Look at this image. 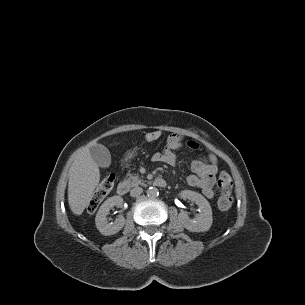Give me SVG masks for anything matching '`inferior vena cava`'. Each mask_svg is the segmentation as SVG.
Returning a JSON list of instances; mask_svg holds the SVG:
<instances>
[{
  "label": "inferior vena cava",
  "instance_id": "602c4592",
  "mask_svg": "<svg viewBox=\"0 0 305 305\" xmlns=\"http://www.w3.org/2000/svg\"><path fill=\"white\" fill-rule=\"evenodd\" d=\"M142 192H143V189H142L141 187H135V188L131 189L130 195H131L132 197H137V196H139Z\"/></svg>",
  "mask_w": 305,
  "mask_h": 305
}]
</instances>
